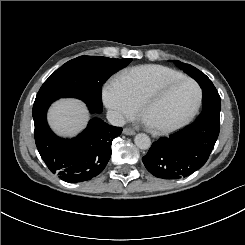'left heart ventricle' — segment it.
Instances as JSON below:
<instances>
[{
  "label": "left heart ventricle",
  "instance_id": "left-heart-ventricle-1",
  "mask_svg": "<svg viewBox=\"0 0 245 245\" xmlns=\"http://www.w3.org/2000/svg\"><path fill=\"white\" fill-rule=\"evenodd\" d=\"M194 101V87L186 81L176 82L149 97L143 118L149 124L175 122L188 113Z\"/></svg>",
  "mask_w": 245,
  "mask_h": 245
}]
</instances>
